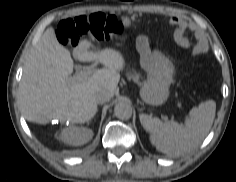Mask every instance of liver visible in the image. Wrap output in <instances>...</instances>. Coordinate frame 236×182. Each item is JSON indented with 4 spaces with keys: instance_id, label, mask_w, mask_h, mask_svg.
<instances>
[{
    "instance_id": "6515ba94",
    "label": "liver",
    "mask_w": 236,
    "mask_h": 182,
    "mask_svg": "<svg viewBox=\"0 0 236 182\" xmlns=\"http://www.w3.org/2000/svg\"><path fill=\"white\" fill-rule=\"evenodd\" d=\"M76 60L96 62L104 67L87 78L72 77L70 51L48 28L31 52L19 85V102L26 120L47 124L52 119L73 123L90 121L97 113L96 93L107 89L114 95L125 67L122 54L112 48L90 50L83 41L72 52Z\"/></svg>"
}]
</instances>
